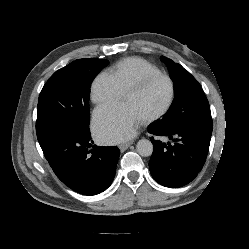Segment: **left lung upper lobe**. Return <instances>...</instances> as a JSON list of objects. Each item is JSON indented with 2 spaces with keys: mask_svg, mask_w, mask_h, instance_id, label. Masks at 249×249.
<instances>
[{
  "mask_svg": "<svg viewBox=\"0 0 249 249\" xmlns=\"http://www.w3.org/2000/svg\"><path fill=\"white\" fill-rule=\"evenodd\" d=\"M161 60L174 83L175 99L158 123L167 130L212 124L209 103L198 81L180 64L164 56Z\"/></svg>",
  "mask_w": 249,
  "mask_h": 249,
  "instance_id": "5c2ea615",
  "label": "left lung upper lobe"
}]
</instances>
